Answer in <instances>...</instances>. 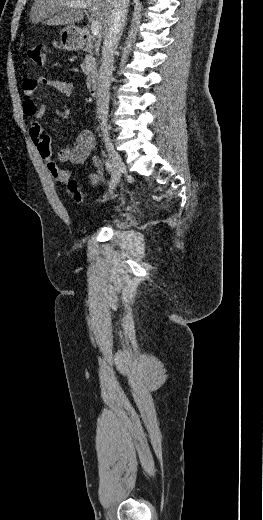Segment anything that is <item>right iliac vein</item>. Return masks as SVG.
I'll use <instances>...</instances> for the list:
<instances>
[{
    "mask_svg": "<svg viewBox=\"0 0 263 520\" xmlns=\"http://www.w3.org/2000/svg\"><path fill=\"white\" fill-rule=\"evenodd\" d=\"M104 141L106 149L109 153L111 162H112V178L110 181V194L116 189L119 184L122 173L125 171V165L120 157V155L114 149L112 142L107 134L104 135Z\"/></svg>",
    "mask_w": 263,
    "mask_h": 520,
    "instance_id": "1",
    "label": "right iliac vein"
}]
</instances>
